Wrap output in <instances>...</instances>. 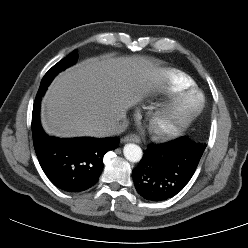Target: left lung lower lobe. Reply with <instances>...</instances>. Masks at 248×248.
<instances>
[{"label": "left lung lower lobe", "instance_id": "left-lung-lower-lobe-1", "mask_svg": "<svg viewBox=\"0 0 248 248\" xmlns=\"http://www.w3.org/2000/svg\"><path fill=\"white\" fill-rule=\"evenodd\" d=\"M204 150L186 137L149 145L132 172L137 192L149 201L172 198L189 182Z\"/></svg>", "mask_w": 248, "mask_h": 248}]
</instances>
